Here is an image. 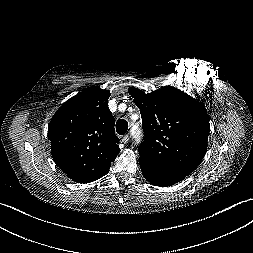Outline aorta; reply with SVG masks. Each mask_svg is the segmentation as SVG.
<instances>
[{"instance_id": "obj_1", "label": "aorta", "mask_w": 253, "mask_h": 253, "mask_svg": "<svg viewBox=\"0 0 253 253\" xmlns=\"http://www.w3.org/2000/svg\"><path fill=\"white\" fill-rule=\"evenodd\" d=\"M132 134L134 136V141L139 143L141 141V132H139L137 127H132Z\"/></svg>"}]
</instances>
